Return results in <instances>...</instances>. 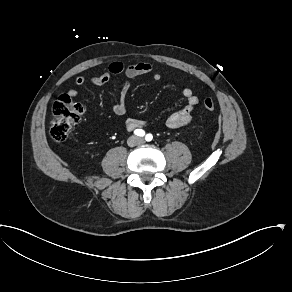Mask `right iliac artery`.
I'll use <instances>...</instances> for the list:
<instances>
[{
    "mask_svg": "<svg viewBox=\"0 0 292 292\" xmlns=\"http://www.w3.org/2000/svg\"><path fill=\"white\" fill-rule=\"evenodd\" d=\"M134 134L137 135V136L143 137L145 135V131L142 130V129H136L134 131Z\"/></svg>",
    "mask_w": 292,
    "mask_h": 292,
    "instance_id": "right-iliac-artery-1",
    "label": "right iliac artery"
}]
</instances>
